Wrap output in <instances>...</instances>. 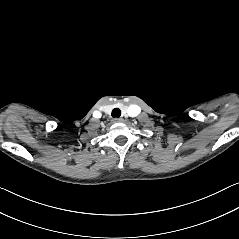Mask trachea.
<instances>
[{"label": "trachea", "instance_id": "obj_1", "mask_svg": "<svg viewBox=\"0 0 239 239\" xmlns=\"http://www.w3.org/2000/svg\"><path fill=\"white\" fill-rule=\"evenodd\" d=\"M121 116V111L118 108H114L112 111V117L119 118Z\"/></svg>", "mask_w": 239, "mask_h": 239}]
</instances>
